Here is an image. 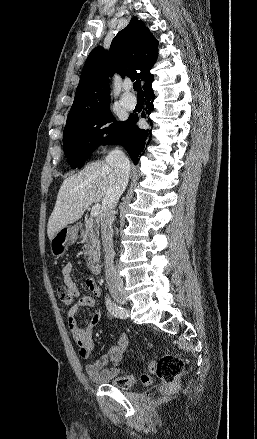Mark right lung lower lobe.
<instances>
[{"label":"right lung lower lobe","mask_w":257,"mask_h":439,"mask_svg":"<svg viewBox=\"0 0 257 439\" xmlns=\"http://www.w3.org/2000/svg\"><path fill=\"white\" fill-rule=\"evenodd\" d=\"M153 80L154 78L149 80L147 85L144 87V94L146 98L145 110L147 114H150L153 111V101L155 99L153 90L151 88V83ZM137 120V116H130L129 119L125 121L122 132L112 142H110L124 146L134 164H138L139 156L144 153L143 150L145 145H148L151 141V131L138 128L135 125Z\"/></svg>","instance_id":"1"}]
</instances>
